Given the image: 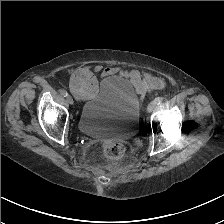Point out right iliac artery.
<instances>
[{"label": "right iliac artery", "instance_id": "82829eb1", "mask_svg": "<svg viewBox=\"0 0 224 224\" xmlns=\"http://www.w3.org/2000/svg\"><path fill=\"white\" fill-rule=\"evenodd\" d=\"M61 95L63 96V97H66L67 95H68V93H67V91L66 90H61Z\"/></svg>", "mask_w": 224, "mask_h": 224}]
</instances>
